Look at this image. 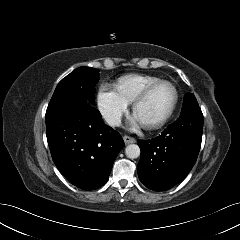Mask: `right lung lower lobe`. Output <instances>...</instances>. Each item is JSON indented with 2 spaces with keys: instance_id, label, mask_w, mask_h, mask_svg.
Segmentation results:
<instances>
[{
  "instance_id": "right-lung-lower-lobe-1",
  "label": "right lung lower lobe",
  "mask_w": 240,
  "mask_h": 240,
  "mask_svg": "<svg viewBox=\"0 0 240 240\" xmlns=\"http://www.w3.org/2000/svg\"><path fill=\"white\" fill-rule=\"evenodd\" d=\"M45 118L48 145L60 172L83 190L103 186L124 147L121 135L90 104L48 110Z\"/></svg>"
}]
</instances>
